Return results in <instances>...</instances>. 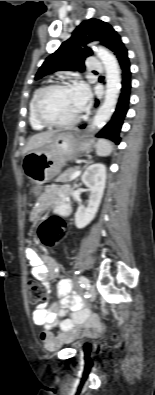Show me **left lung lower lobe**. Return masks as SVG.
Instances as JSON below:
<instances>
[{"mask_svg": "<svg viewBox=\"0 0 155 395\" xmlns=\"http://www.w3.org/2000/svg\"><path fill=\"white\" fill-rule=\"evenodd\" d=\"M119 65L121 68V93L117 103L116 110L111 118V120L99 131L98 137L107 138L119 144L120 137L119 133L123 124V120L129 109L130 93H131V71H130V61L128 55L122 57L119 60ZM98 100L95 102V106L98 105ZM85 125L80 128H84Z\"/></svg>", "mask_w": 155, "mask_h": 395, "instance_id": "1", "label": "left lung lower lobe"}]
</instances>
